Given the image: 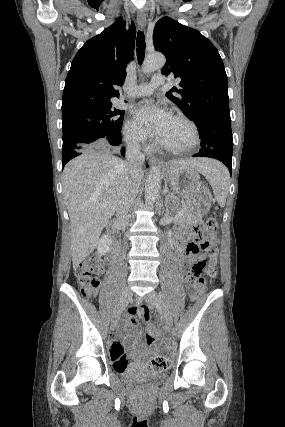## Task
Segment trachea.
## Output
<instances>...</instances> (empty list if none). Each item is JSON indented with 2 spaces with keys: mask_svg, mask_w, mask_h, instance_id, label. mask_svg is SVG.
<instances>
[{
  "mask_svg": "<svg viewBox=\"0 0 285 427\" xmlns=\"http://www.w3.org/2000/svg\"><path fill=\"white\" fill-rule=\"evenodd\" d=\"M136 46H137L136 51H137L138 62L142 63V61L144 60L145 49H146L145 36L142 31H138Z\"/></svg>",
  "mask_w": 285,
  "mask_h": 427,
  "instance_id": "3493384b",
  "label": "trachea"
}]
</instances>
